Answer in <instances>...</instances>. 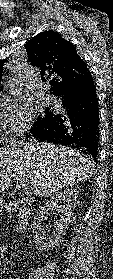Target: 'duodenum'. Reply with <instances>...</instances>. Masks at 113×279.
I'll return each mask as SVG.
<instances>
[{
    "instance_id": "410a0bca",
    "label": "duodenum",
    "mask_w": 113,
    "mask_h": 279,
    "mask_svg": "<svg viewBox=\"0 0 113 279\" xmlns=\"http://www.w3.org/2000/svg\"><path fill=\"white\" fill-rule=\"evenodd\" d=\"M16 213L18 218L17 230L19 233H21L24 231L28 224L30 218V210L25 206H21L16 210Z\"/></svg>"
}]
</instances>
